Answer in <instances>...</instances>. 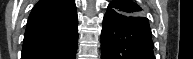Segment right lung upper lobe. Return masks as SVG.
Instances as JSON below:
<instances>
[{
  "mask_svg": "<svg viewBox=\"0 0 193 59\" xmlns=\"http://www.w3.org/2000/svg\"><path fill=\"white\" fill-rule=\"evenodd\" d=\"M74 0H40L33 8L24 35L23 52L52 49L77 34Z\"/></svg>",
  "mask_w": 193,
  "mask_h": 59,
  "instance_id": "1",
  "label": "right lung upper lobe"
}]
</instances>
